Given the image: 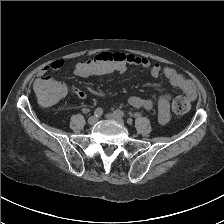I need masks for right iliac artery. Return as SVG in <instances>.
Here are the masks:
<instances>
[{
    "label": "right iliac artery",
    "mask_w": 224,
    "mask_h": 224,
    "mask_svg": "<svg viewBox=\"0 0 224 224\" xmlns=\"http://www.w3.org/2000/svg\"><path fill=\"white\" fill-rule=\"evenodd\" d=\"M103 114V109L102 108H96L94 111V116L100 117Z\"/></svg>",
    "instance_id": "82829eb1"
}]
</instances>
